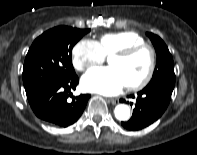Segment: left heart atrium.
Wrapping results in <instances>:
<instances>
[{"label": "left heart atrium", "mask_w": 197, "mask_h": 155, "mask_svg": "<svg viewBox=\"0 0 197 155\" xmlns=\"http://www.w3.org/2000/svg\"><path fill=\"white\" fill-rule=\"evenodd\" d=\"M82 88L102 95H115L122 91L126 82L114 67H99L88 71L81 79Z\"/></svg>", "instance_id": "1"}]
</instances>
